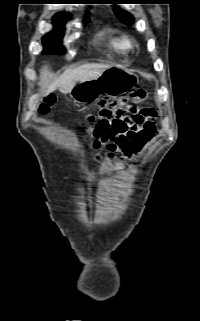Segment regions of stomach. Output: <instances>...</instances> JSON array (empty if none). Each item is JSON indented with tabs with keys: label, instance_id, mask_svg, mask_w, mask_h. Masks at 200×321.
<instances>
[{
	"label": "stomach",
	"instance_id": "obj_1",
	"mask_svg": "<svg viewBox=\"0 0 200 321\" xmlns=\"http://www.w3.org/2000/svg\"><path fill=\"white\" fill-rule=\"evenodd\" d=\"M137 83V75L121 66H111L98 78L79 82L70 96L75 102L89 103L97 100L102 93L114 97L129 91Z\"/></svg>",
	"mask_w": 200,
	"mask_h": 321
}]
</instances>
